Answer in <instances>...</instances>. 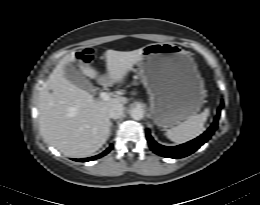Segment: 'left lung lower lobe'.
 <instances>
[{"label":"left lung lower lobe","instance_id":"obj_1","mask_svg":"<svg viewBox=\"0 0 260 205\" xmlns=\"http://www.w3.org/2000/svg\"><path fill=\"white\" fill-rule=\"evenodd\" d=\"M223 106V102L221 103V107ZM220 117V109H218V113L216 118L214 119L213 124L211 127L201 136L198 138L189 141L187 143L174 146V147H167L156 143L150 135L149 130L146 131V137L149 142V146L153 152L156 154L167 157V158H183L191 153L195 152L201 145H203L207 140L211 137L214 133L215 129L218 125V119Z\"/></svg>","mask_w":260,"mask_h":205}]
</instances>
